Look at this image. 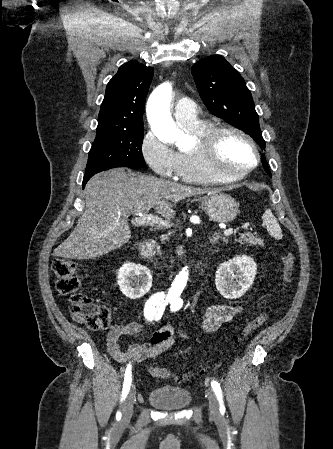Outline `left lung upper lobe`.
Masks as SVG:
<instances>
[{
	"label": "left lung upper lobe",
	"mask_w": 333,
	"mask_h": 449,
	"mask_svg": "<svg viewBox=\"0 0 333 449\" xmlns=\"http://www.w3.org/2000/svg\"><path fill=\"white\" fill-rule=\"evenodd\" d=\"M192 74L208 110L244 130L264 150L258 114L240 73L223 56L213 55L195 63Z\"/></svg>",
	"instance_id": "obj_1"
}]
</instances>
